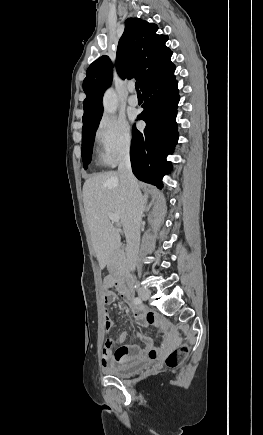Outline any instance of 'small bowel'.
I'll list each match as a JSON object with an SVG mask.
<instances>
[{"label":"small bowel","mask_w":263,"mask_h":435,"mask_svg":"<svg viewBox=\"0 0 263 435\" xmlns=\"http://www.w3.org/2000/svg\"><path fill=\"white\" fill-rule=\"evenodd\" d=\"M104 289L110 295V298L104 300L105 304L110 305L115 301V294L111 289L117 285L113 276H106L104 279ZM133 316L137 324L143 328L156 323L158 321L157 316L152 312H145L137 306H132ZM113 326V321L107 311H105V327L110 330ZM144 343V347L138 345H124L119 347L114 353L112 350H102V365L109 367L115 363L125 364L140 361L143 358H149L156 360L160 357L161 353L169 346L175 343V337L172 334L165 336L159 347H155L151 339L141 333L136 334ZM127 333L121 332L118 336L120 343H125L127 340Z\"/></svg>","instance_id":"obj_1"}]
</instances>
